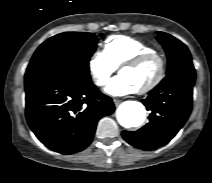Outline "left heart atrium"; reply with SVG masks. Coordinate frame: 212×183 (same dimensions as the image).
Masks as SVG:
<instances>
[{
	"label": "left heart atrium",
	"instance_id": "left-heart-atrium-1",
	"mask_svg": "<svg viewBox=\"0 0 212 183\" xmlns=\"http://www.w3.org/2000/svg\"><path fill=\"white\" fill-rule=\"evenodd\" d=\"M112 96H125L133 94L137 88L124 76L115 77L105 89Z\"/></svg>",
	"mask_w": 212,
	"mask_h": 183
}]
</instances>
